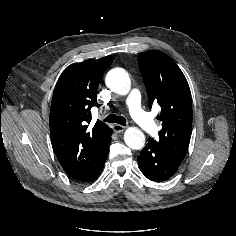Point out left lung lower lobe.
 <instances>
[{"label":"left lung lower lobe","mask_w":236,"mask_h":236,"mask_svg":"<svg viewBox=\"0 0 236 236\" xmlns=\"http://www.w3.org/2000/svg\"><path fill=\"white\" fill-rule=\"evenodd\" d=\"M181 160L176 159L154 142L149 141L138 156L142 173L152 181L162 182L170 178L178 169Z\"/></svg>","instance_id":"0a47b994"}]
</instances>
